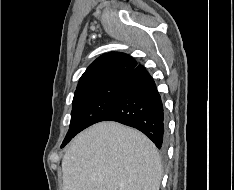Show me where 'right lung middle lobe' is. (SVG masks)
<instances>
[{"label": "right lung middle lobe", "mask_w": 234, "mask_h": 190, "mask_svg": "<svg viewBox=\"0 0 234 190\" xmlns=\"http://www.w3.org/2000/svg\"><path fill=\"white\" fill-rule=\"evenodd\" d=\"M124 80L116 79L75 92L69 131L61 147H64L80 131L99 122L118 97Z\"/></svg>", "instance_id": "dd1d6c3e"}]
</instances>
